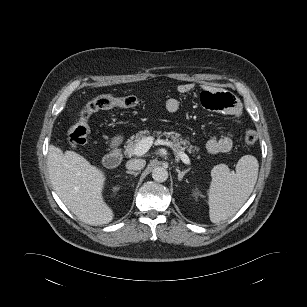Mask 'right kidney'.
<instances>
[{"instance_id": "obj_1", "label": "right kidney", "mask_w": 307, "mask_h": 307, "mask_svg": "<svg viewBox=\"0 0 307 307\" xmlns=\"http://www.w3.org/2000/svg\"><path fill=\"white\" fill-rule=\"evenodd\" d=\"M118 189H119L118 187H114V188H113L114 191H117Z\"/></svg>"}]
</instances>
